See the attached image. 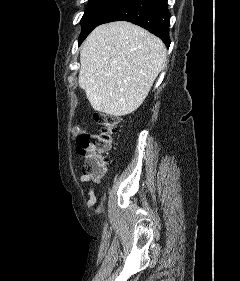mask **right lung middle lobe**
<instances>
[{"label":"right lung middle lobe","instance_id":"dd1d6c3e","mask_svg":"<svg viewBox=\"0 0 240 281\" xmlns=\"http://www.w3.org/2000/svg\"><path fill=\"white\" fill-rule=\"evenodd\" d=\"M120 0H89V4L81 19V42L97 26L100 19Z\"/></svg>","mask_w":240,"mask_h":281}]
</instances>
